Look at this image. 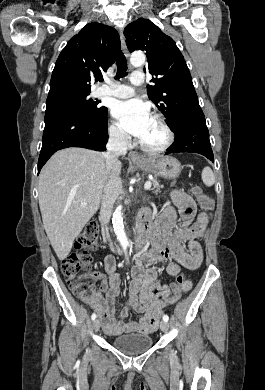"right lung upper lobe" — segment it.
<instances>
[{"label":"right lung upper lobe","instance_id":"right-lung-upper-lobe-1","mask_svg":"<svg viewBox=\"0 0 265 390\" xmlns=\"http://www.w3.org/2000/svg\"><path fill=\"white\" fill-rule=\"evenodd\" d=\"M118 32L107 25L89 23L61 51L50 80L47 100L91 92V82L102 81L120 52Z\"/></svg>","mask_w":265,"mask_h":390}]
</instances>
